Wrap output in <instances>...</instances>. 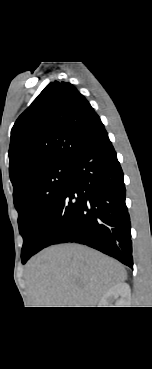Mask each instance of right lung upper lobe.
I'll list each match as a JSON object with an SVG mask.
<instances>
[{"label":"right lung upper lobe","mask_w":152,"mask_h":369,"mask_svg":"<svg viewBox=\"0 0 152 369\" xmlns=\"http://www.w3.org/2000/svg\"><path fill=\"white\" fill-rule=\"evenodd\" d=\"M104 131L99 116L71 83L51 82L11 130L9 174L13 194L33 173L69 163Z\"/></svg>","instance_id":"cb5924a9"}]
</instances>
